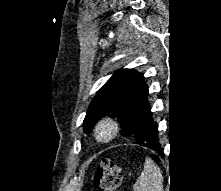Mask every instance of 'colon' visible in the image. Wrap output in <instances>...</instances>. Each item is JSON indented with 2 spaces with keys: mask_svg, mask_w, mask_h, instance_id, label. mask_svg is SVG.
<instances>
[{
  "mask_svg": "<svg viewBox=\"0 0 221 191\" xmlns=\"http://www.w3.org/2000/svg\"><path fill=\"white\" fill-rule=\"evenodd\" d=\"M122 179L119 164L111 159H104L95 174V186L98 191H117Z\"/></svg>",
  "mask_w": 221,
  "mask_h": 191,
  "instance_id": "1",
  "label": "colon"
}]
</instances>
